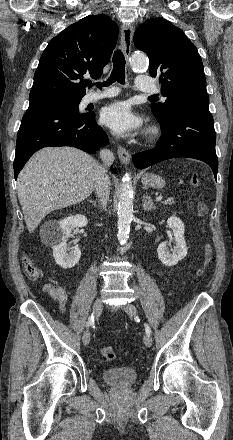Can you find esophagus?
Segmentation results:
<instances>
[{"mask_svg": "<svg viewBox=\"0 0 233 440\" xmlns=\"http://www.w3.org/2000/svg\"><path fill=\"white\" fill-rule=\"evenodd\" d=\"M132 37L133 27L131 25H123L121 28V48L127 59L131 52ZM118 156L124 165L129 164L131 155L125 148L118 147Z\"/></svg>", "mask_w": 233, "mask_h": 440, "instance_id": "1", "label": "esophagus"}]
</instances>
